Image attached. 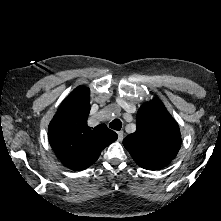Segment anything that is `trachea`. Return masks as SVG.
Segmentation results:
<instances>
[{
	"label": "trachea",
	"instance_id": "trachea-1",
	"mask_svg": "<svg viewBox=\"0 0 221 221\" xmlns=\"http://www.w3.org/2000/svg\"><path fill=\"white\" fill-rule=\"evenodd\" d=\"M109 127L114 130H120L122 128V122L119 119H115L109 124Z\"/></svg>",
	"mask_w": 221,
	"mask_h": 221
}]
</instances>
